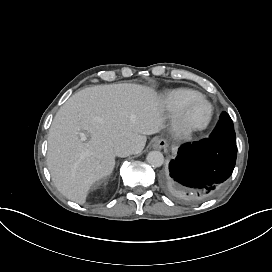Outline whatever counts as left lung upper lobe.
Here are the masks:
<instances>
[{"mask_svg":"<svg viewBox=\"0 0 272 272\" xmlns=\"http://www.w3.org/2000/svg\"><path fill=\"white\" fill-rule=\"evenodd\" d=\"M209 138L236 144L234 125L230 116L226 112L221 114L220 120Z\"/></svg>","mask_w":272,"mask_h":272,"instance_id":"1","label":"left lung upper lobe"}]
</instances>
